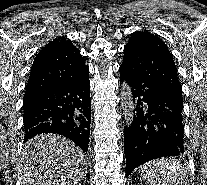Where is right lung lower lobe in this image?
I'll return each mask as SVG.
<instances>
[{
  "label": "right lung lower lobe",
  "mask_w": 207,
  "mask_h": 185,
  "mask_svg": "<svg viewBox=\"0 0 207 185\" xmlns=\"http://www.w3.org/2000/svg\"><path fill=\"white\" fill-rule=\"evenodd\" d=\"M89 71L82 77L25 99L24 142L42 133L65 136L88 150L91 101Z\"/></svg>",
  "instance_id": "obj_1"
}]
</instances>
